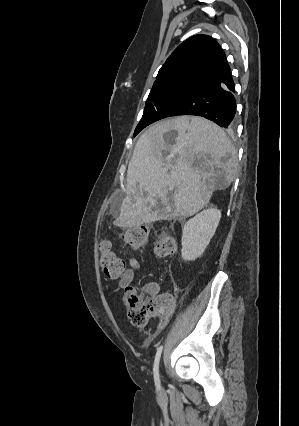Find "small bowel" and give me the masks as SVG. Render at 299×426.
Wrapping results in <instances>:
<instances>
[{
	"mask_svg": "<svg viewBox=\"0 0 299 426\" xmlns=\"http://www.w3.org/2000/svg\"><path fill=\"white\" fill-rule=\"evenodd\" d=\"M128 264L129 268L125 269V271L120 277L115 278L119 291L126 290V288L129 287L130 283L134 279L135 271H140L142 269L141 264L135 258H129ZM149 288H151L154 293H157L159 291V287L157 284H150ZM164 325L165 317H162L156 327L150 330V336H156L163 329Z\"/></svg>",
	"mask_w": 299,
	"mask_h": 426,
	"instance_id": "1",
	"label": "small bowel"
}]
</instances>
